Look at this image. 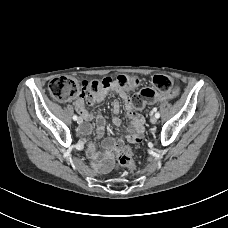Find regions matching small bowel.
<instances>
[{"label":"small bowel","instance_id":"c3829d8e","mask_svg":"<svg viewBox=\"0 0 228 228\" xmlns=\"http://www.w3.org/2000/svg\"><path fill=\"white\" fill-rule=\"evenodd\" d=\"M110 92L117 93L124 102L125 112L130 120L127 140L131 143H140L144 138V119L140 114L134 111L129 95L118 84L112 85L110 88L103 90L98 95H84L76 100V109L84 119V123L80 127L79 132L82 134H89L91 132L92 127L89 124V121L93 116L92 113L88 110V106H91L95 103H102ZM112 108L115 114H118L120 112V103L118 100L113 101ZM120 123L121 121L119 118L113 119V124L115 126H119ZM96 124L98 136L102 138V145L105 150L102 165L105 169H108L113 166L114 159L119 154L124 142L122 140H114L112 138L104 137L106 123L100 113H97L96 115Z\"/></svg>","mask_w":228,"mask_h":228}]
</instances>
